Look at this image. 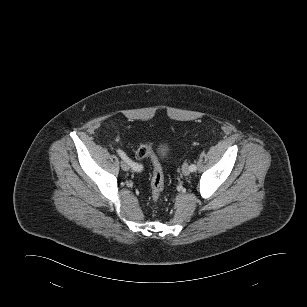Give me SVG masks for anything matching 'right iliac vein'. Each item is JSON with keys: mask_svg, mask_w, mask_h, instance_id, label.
Segmentation results:
<instances>
[{"mask_svg": "<svg viewBox=\"0 0 307 307\" xmlns=\"http://www.w3.org/2000/svg\"><path fill=\"white\" fill-rule=\"evenodd\" d=\"M121 168L124 170V171H128L130 169L129 165L125 162V161H122L121 162Z\"/></svg>", "mask_w": 307, "mask_h": 307, "instance_id": "63e3f726", "label": "right iliac vein"}]
</instances>
